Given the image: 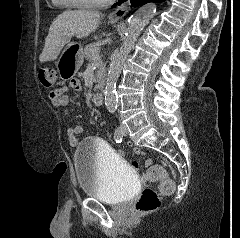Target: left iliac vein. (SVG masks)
Masks as SVG:
<instances>
[{
	"mask_svg": "<svg viewBox=\"0 0 240 238\" xmlns=\"http://www.w3.org/2000/svg\"><path fill=\"white\" fill-rule=\"evenodd\" d=\"M121 130H122L123 135H127L128 129L124 124H121Z\"/></svg>",
	"mask_w": 240,
	"mask_h": 238,
	"instance_id": "obj_1",
	"label": "left iliac vein"
}]
</instances>
